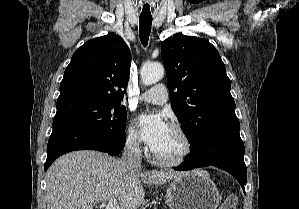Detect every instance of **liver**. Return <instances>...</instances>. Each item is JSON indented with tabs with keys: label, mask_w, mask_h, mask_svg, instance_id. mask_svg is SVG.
<instances>
[{
	"label": "liver",
	"mask_w": 299,
	"mask_h": 209,
	"mask_svg": "<svg viewBox=\"0 0 299 209\" xmlns=\"http://www.w3.org/2000/svg\"><path fill=\"white\" fill-rule=\"evenodd\" d=\"M182 174L130 169L122 160L97 151L71 152L47 172V209H93V203L111 198L122 209H137L145 197L142 182L162 185Z\"/></svg>",
	"instance_id": "liver-1"
}]
</instances>
